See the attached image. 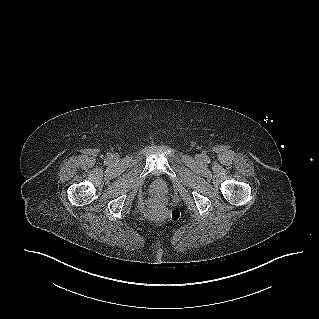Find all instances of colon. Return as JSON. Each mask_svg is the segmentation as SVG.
<instances>
[{"mask_svg":"<svg viewBox=\"0 0 319 319\" xmlns=\"http://www.w3.org/2000/svg\"><path fill=\"white\" fill-rule=\"evenodd\" d=\"M154 212L161 213V214H170L171 216H174L175 212H169V210L162 204H156L153 208Z\"/></svg>","mask_w":319,"mask_h":319,"instance_id":"colon-1","label":"colon"}]
</instances>
